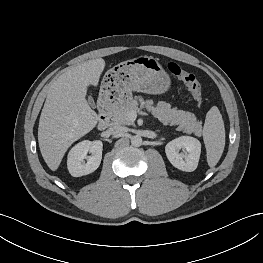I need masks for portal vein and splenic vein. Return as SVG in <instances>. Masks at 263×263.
Instances as JSON below:
<instances>
[{
  "label": "portal vein and splenic vein",
  "instance_id": "1",
  "mask_svg": "<svg viewBox=\"0 0 263 263\" xmlns=\"http://www.w3.org/2000/svg\"><path fill=\"white\" fill-rule=\"evenodd\" d=\"M129 117H130L131 120L134 121V120L136 119V117H137V112L132 111V112L129 114Z\"/></svg>",
  "mask_w": 263,
  "mask_h": 263
}]
</instances>
